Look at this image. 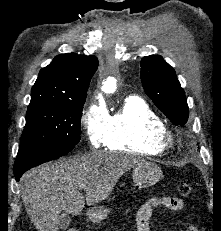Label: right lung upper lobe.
<instances>
[{
    "label": "right lung upper lobe",
    "mask_w": 221,
    "mask_h": 231,
    "mask_svg": "<svg viewBox=\"0 0 221 231\" xmlns=\"http://www.w3.org/2000/svg\"><path fill=\"white\" fill-rule=\"evenodd\" d=\"M98 67L95 56L67 53L41 69L31 90L29 105L86 99L90 80Z\"/></svg>",
    "instance_id": "obj_1"
}]
</instances>
